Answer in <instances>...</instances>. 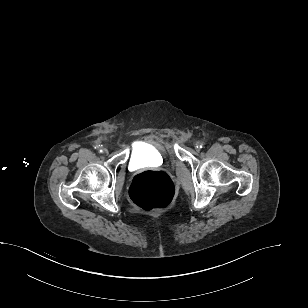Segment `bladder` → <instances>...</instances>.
Masks as SVG:
<instances>
[{"label":"bladder","instance_id":"31cf9c89","mask_svg":"<svg viewBox=\"0 0 308 308\" xmlns=\"http://www.w3.org/2000/svg\"><path fill=\"white\" fill-rule=\"evenodd\" d=\"M165 153L163 145L152 141H141L134 146L130 162L139 167L162 164Z\"/></svg>","mask_w":308,"mask_h":308}]
</instances>
